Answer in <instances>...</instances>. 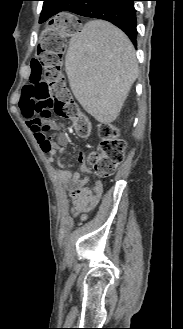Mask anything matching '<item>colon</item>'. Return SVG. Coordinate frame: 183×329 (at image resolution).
Here are the masks:
<instances>
[{
	"label": "colon",
	"instance_id": "5ec220e1",
	"mask_svg": "<svg viewBox=\"0 0 183 329\" xmlns=\"http://www.w3.org/2000/svg\"><path fill=\"white\" fill-rule=\"evenodd\" d=\"M81 20L79 14H54V19H48V25H41V31H36V38H41L35 55L29 56V74L27 86H21L20 114L38 115L49 119L53 115L72 119L79 135L87 137L91 126L82 116L71 99L66 87V74L61 69L65 38H77L80 32ZM49 127L41 125L42 133H47ZM101 141L96 151L89 155L88 162L99 178L111 177L122 163L126 143L118 137V130L108 124L99 127ZM41 147L43 151L51 148V141L43 136Z\"/></svg>",
	"mask_w": 183,
	"mask_h": 329
}]
</instances>
